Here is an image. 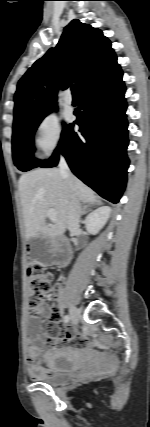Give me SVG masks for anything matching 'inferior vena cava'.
Masks as SVG:
<instances>
[{"label": "inferior vena cava", "instance_id": "602c4592", "mask_svg": "<svg viewBox=\"0 0 150 427\" xmlns=\"http://www.w3.org/2000/svg\"><path fill=\"white\" fill-rule=\"evenodd\" d=\"M59 171L61 176L65 178L67 184L72 188L73 187L72 175L64 157L60 158ZM81 214H82L81 203L79 202V200H77V198H73L70 202L69 209H68V216H67L68 224L70 225V224L79 223Z\"/></svg>", "mask_w": 150, "mask_h": 427}]
</instances>
